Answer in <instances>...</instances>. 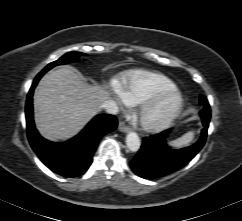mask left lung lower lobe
<instances>
[{"instance_id":"1","label":"left lung lower lobe","mask_w":242,"mask_h":221,"mask_svg":"<svg viewBox=\"0 0 242 221\" xmlns=\"http://www.w3.org/2000/svg\"><path fill=\"white\" fill-rule=\"evenodd\" d=\"M204 100L207 99L201 96ZM201 114L203 129L199 140L183 149H172L166 144L169 130L143 139L141 149L130 162L133 172L146 179H155L171 174L188 164L202 149L207 137L211 111L208 101Z\"/></svg>"}]
</instances>
